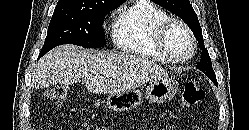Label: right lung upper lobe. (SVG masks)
<instances>
[{
    "label": "right lung upper lobe",
    "instance_id": "1",
    "mask_svg": "<svg viewBox=\"0 0 249 130\" xmlns=\"http://www.w3.org/2000/svg\"><path fill=\"white\" fill-rule=\"evenodd\" d=\"M125 0H59L58 6H69L80 9L98 10L108 6L122 4Z\"/></svg>",
    "mask_w": 249,
    "mask_h": 130
}]
</instances>
